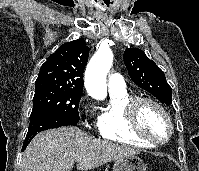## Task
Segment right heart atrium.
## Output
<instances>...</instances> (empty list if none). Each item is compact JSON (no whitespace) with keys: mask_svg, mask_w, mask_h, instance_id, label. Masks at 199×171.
<instances>
[{"mask_svg":"<svg viewBox=\"0 0 199 171\" xmlns=\"http://www.w3.org/2000/svg\"><path fill=\"white\" fill-rule=\"evenodd\" d=\"M79 107H80L81 111H85L86 110V98H83L81 100Z\"/></svg>","mask_w":199,"mask_h":171,"instance_id":"1","label":"right heart atrium"}]
</instances>
